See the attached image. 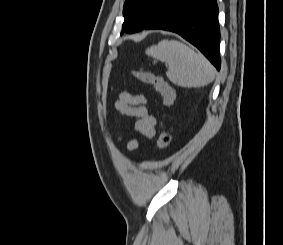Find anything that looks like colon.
<instances>
[{
    "mask_svg": "<svg viewBox=\"0 0 283 245\" xmlns=\"http://www.w3.org/2000/svg\"><path fill=\"white\" fill-rule=\"evenodd\" d=\"M132 74L135 78L144 84L151 85L162 96V105L165 108L172 106L175 100L174 90L165 82V80L150 71L144 69H134ZM171 142L170 134L163 130L159 133L157 144L160 151H165Z\"/></svg>",
    "mask_w": 283,
    "mask_h": 245,
    "instance_id": "1",
    "label": "colon"
}]
</instances>
